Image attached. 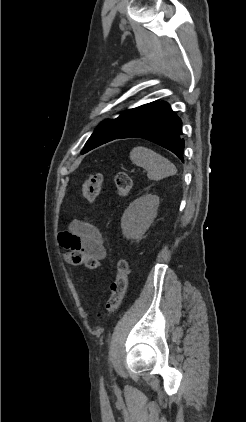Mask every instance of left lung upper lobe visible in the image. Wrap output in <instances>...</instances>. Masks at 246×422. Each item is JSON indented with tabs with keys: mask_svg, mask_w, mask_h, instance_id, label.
<instances>
[{
	"mask_svg": "<svg viewBox=\"0 0 246 422\" xmlns=\"http://www.w3.org/2000/svg\"><path fill=\"white\" fill-rule=\"evenodd\" d=\"M158 102L159 101H155L126 110L115 119L105 120L97 129H95L81 153L84 154L93 148L116 139L136 121L148 113Z\"/></svg>",
	"mask_w": 246,
	"mask_h": 422,
	"instance_id": "obj_1",
	"label": "left lung upper lobe"
}]
</instances>
